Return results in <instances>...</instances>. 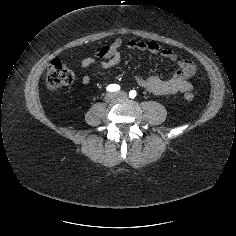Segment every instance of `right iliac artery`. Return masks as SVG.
I'll use <instances>...</instances> for the list:
<instances>
[{"instance_id":"1","label":"right iliac artery","mask_w":236,"mask_h":236,"mask_svg":"<svg viewBox=\"0 0 236 236\" xmlns=\"http://www.w3.org/2000/svg\"><path fill=\"white\" fill-rule=\"evenodd\" d=\"M106 89L109 92H117L120 90V86L117 84H110Z\"/></svg>"}]
</instances>
